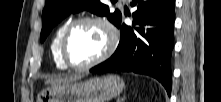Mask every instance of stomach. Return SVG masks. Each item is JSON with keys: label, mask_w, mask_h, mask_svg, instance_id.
I'll return each mask as SVG.
<instances>
[{"label": "stomach", "mask_w": 221, "mask_h": 102, "mask_svg": "<svg viewBox=\"0 0 221 102\" xmlns=\"http://www.w3.org/2000/svg\"><path fill=\"white\" fill-rule=\"evenodd\" d=\"M124 88L117 75H106L84 82H67L42 90L36 102H106Z\"/></svg>", "instance_id": "1"}]
</instances>
